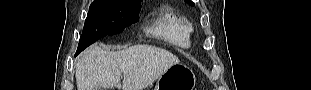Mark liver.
Returning a JSON list of instances; mask_svg holds the SVG:
<instances>
[{
  "label": "liver",
  "mask_w": 311,
  "mask_h": 90,
  "mask_svg": "<svg viewBox=\"0 0 311 90\" xmlns=\"http://www.w3.org/2000/svg\"><path fill=\"white\" fill-rule=\"evenodd\" d=\"M179 62L171 52L150 45H136L117 52L93 46L76 62V84L78 90L114 87L144 90ZM121 74L124 76L122 85Z\"/></svg>",
  "instance_id": "6515ba94"
}]
</instances>
